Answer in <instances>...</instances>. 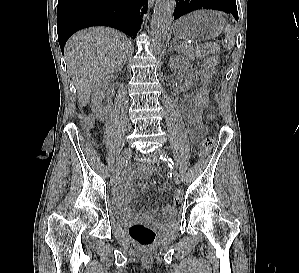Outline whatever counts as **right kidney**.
Listing matches in <instances>:
<instances>
[{
	"mask_svg": "<svg viewBox=\"0 0 299 273\" xmlns=\"http://www.w3.org/2000/svg\"><path fill=\"white\" fill-rule=\"evenodd\" d=\"M110 78V76L100 78L92 90L91 107L96 114V118L100 121L104 120L106 109L112 103V101L105 95ZM103 100L104 104L102 103Z\"/></svg>",
	"mask_w": 299,
	"mask_h": 273,
	"instance_id": "obj_1",
	"label": "right kidney"
}]
</instances>
